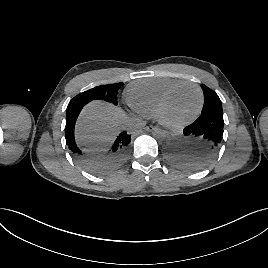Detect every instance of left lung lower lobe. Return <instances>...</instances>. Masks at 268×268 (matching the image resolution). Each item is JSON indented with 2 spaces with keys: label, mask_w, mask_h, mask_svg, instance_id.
I'll return each instance as SVG.
<instances>
[{
  "label": "left lung lower lobe",
  "mask_w": 268,
  "mask_h": 268,
  "mask_svg": "<svg viewBox=\"0 0 268 268\" xmlns=\"http://www.w3.org/2000/svg\"><path fill=\"white\" fill-rule=\"evenodd\" d=\"M223 113L202 114L166 147L167 162L177 169H199L217 157L223 140Z\"/></svg>",
  "instance_id": "1"
}]
</instances>
